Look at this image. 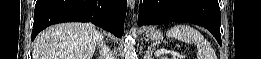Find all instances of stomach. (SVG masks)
<instances>
[{"label": "stomach", "mask_w": 261, "mask_h": 59, "mask_svg": "<svg viewBox=\"0 0 261 59\" xmlns=\"http://www.w3.org/2000/svg\"><path fill=\"white\" fill-rule=\"evenodd\" d=\"M144 34L148 39H150L152 41H155V40L157 41L162 38V33L153 27L145 28Z\"/></svg>", "instance_id": "1"}]
</instances>
